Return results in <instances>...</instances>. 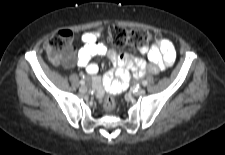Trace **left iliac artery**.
I'll return each mask as SVG.
<instances>
[{"instance_id":"obj_1","label":"left iliac artery","mask_w":225,"mask_h":155,"mask_svg":"<svg viewBox=\"0 0 225 155\" xmlns=\"http://www.w3.org/2000/svg\"><path fill=\"white\" fill-rule=\"evenodd\" d=\"M142 85H143V86H146V85H147V81L144 80V81L142 82Z\"/></svg>"}]
</instances>
